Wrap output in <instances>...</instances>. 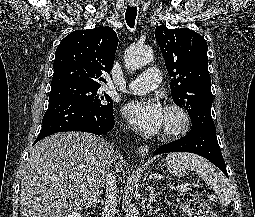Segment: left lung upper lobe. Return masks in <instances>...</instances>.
Listing matches in <instances>:
<instances>
[{"mask_svg": "<svg viewBox=\"0 0 255 217\" xmlns=\"http://www.w3.org/2000/svg\"><path fill=\"white\" fill-rule=\"evenodd\" d=\"M155 38L171 77L173 101L187 110L192 127L214 124L205 39L188 28L168 29L166 25L156 27Z\"/></svg>", "mask_w": 255, "mask_h": 217, "instance_id": "1", "label": "left lung upper lobe"}]
</instances>
